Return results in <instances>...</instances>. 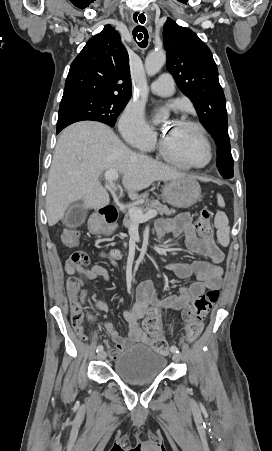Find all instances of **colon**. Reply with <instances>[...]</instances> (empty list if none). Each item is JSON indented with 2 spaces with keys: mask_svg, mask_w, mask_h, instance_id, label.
<instances>
[{
  "mask_svg": "<svg viewBox=\"0 0 272 451\" xmlns=\"http://www.w3.org/2000/svg\"><path fill=\"white\" fill-rule=\"evenodd\" d=\"M211 213L204 209L197 218V226L201 230L200 236L204 239L203 247L208 250L216 249V244L211 240L212 227L210 225ZM78 229L75 227H67L62 234V239L66 244L67 250H78L80 247ZM89 263V255L84 251H74L70 253L67 266L72 270L77 271L80 267L86 266ZM219 299V292L217 290H209L203 295L197 297L194 302L183 311V317L188 325V335L196 336L202 329V321L214 304ZM81 314L78 311L73 312V324L79 337L84 338L80 324ZM152 347L159 355L168 353L169 340L164 338H154L152 340Z\"/></svg>",
  "mask_w": 272,
  "mask_h": 451,
  "instance_id": "1",
  "label": "colon"
}]
</instances>
